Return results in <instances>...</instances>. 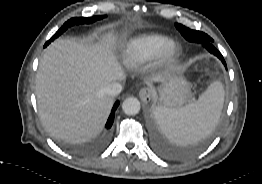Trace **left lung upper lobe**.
Here are the masks:
<instances>
[{
	"mask_svg": "<svg viewBox=\"0 0 262 184\" xmlns=\"http://www.w3.org/2000/svg\"><path fill=\"white\" fill-rule=\"evenodd\" d=\"M176 28L180 31V33L184 36V38L190 42L195 43H212L213 39L208 36L206 33L197 30H191L184 25L175 24Z\"/></svg>",
	"mask_w": 262,
	"mask_h": 184,
	"instance_id": "5c2ea615",
	"label": "left lung upper lobe"
}]
</instances>
